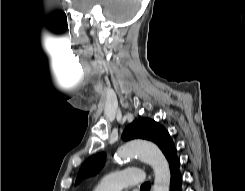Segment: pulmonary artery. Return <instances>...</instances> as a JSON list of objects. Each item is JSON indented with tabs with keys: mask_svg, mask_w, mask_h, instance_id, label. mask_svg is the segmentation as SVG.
Listing matches in <instances>:
<instances>
[{
	"mask_svg": "<svg viewBox=\"0 0 245 191\" xmlns=\"http://www.w3.org/2000/svg\"><path fill=\"white\" fill-rule=\"evenodd\" d=\"M144 173L138 168H125L106 176L94 191H121L124 188L139 185Z\"/></svg>",
	"mask_w": 245,
	"mask_h": 191,
	"instance_id": "pulmonary-artery-1",
	"label": "pulmonary artery"
}]
</instances>
